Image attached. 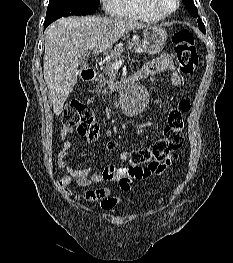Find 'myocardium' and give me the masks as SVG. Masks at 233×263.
<instances>
[{
  "label": "myocardium",
  "instance_id": "f54148a6",
  "mask_svg": "<svg viewBox=\"0 0 233 263\" xmlns=\"http://www.w3.org/2000/svg\"><path fill=\"white\" fill-rule=\"evenodd\" d=\"M152 8L161 16L168 17L174 14L179 6H180V0H173L174 1V7L171 10H165L161 4L160 0H149Z\"/></svg>",
  "mask_w": 233,
  "mask_h": 263
}]
</instances>
